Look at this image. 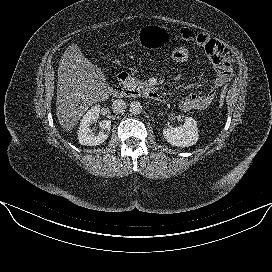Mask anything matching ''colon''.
Masks as SVG:
<instances>
[{
	"label": "colon",
	"mask_w": 272,
	"mask_h": 272,
	"mask_svg": "<svg viewBox=\"0 0 272 272\" xmlns=\"http://www.w3.org/2000/svg\"><path fill=\"white\" fill-rule=\"evenodd\" d=\"M170 58L177 63H185L190 60L191 58V53L190 50L184 46H177L171 49ZM228 91V87H224L219 95L218 99V105L221 107L224 103V99L226 97Z\"/></svg>",
	"instance_id": "obj_1"
}]
</instances>
